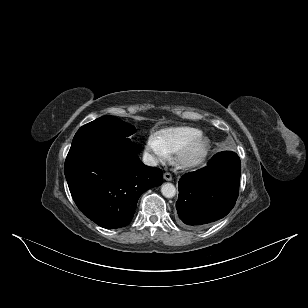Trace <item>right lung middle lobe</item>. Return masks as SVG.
<instances>
[{"instance_id":"obj_1","label":"right lung middle lobe","mask_w":308,"mask_h":308,"mask_svg":"<svg viewBox=\"0 0 308 308\" xmlns=\"http://www.w3.org/2000/svg\"><path fill=\"white\" fill-rule=\"evenodd\" d=\"M136 129L112 116L100 117L84 126L75 134L71 148L86 144H116L138 150V146L128 138Z\"/></svg>"}]
</instances>
